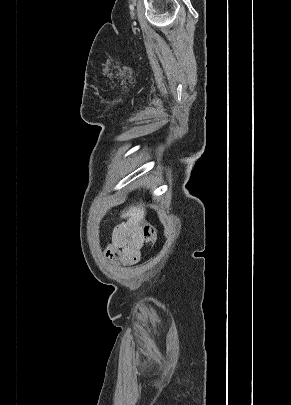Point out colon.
Wrapping results in <instances>:
<instances>
[{"instance_id":"1","label":"colon","mask_w":291,"mask_h":405,"mask_svg":"<svg viewBox=\"0 0 291 405\" xmlns=\"http://www.w3.org/2000/svg\"><path fill=\"white\" fill-rule=\"evenodd\" d=\"M142 238L144 242L154 244L157 239L156 229L152 225H144L142 227Z\"/></svg>"}]
</instances>
